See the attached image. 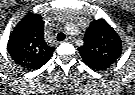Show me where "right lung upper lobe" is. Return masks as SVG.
Segmentation results:
<instances>
[{
  "label": "right lung upper lobe",
  "instance_id": "right-lung-upper-lobe-1",
  "mask_svg": "<svg viewBox=\"0 0 135 95\" xmlns=\"http://www.w3.org/2000/svg\"><path fill=\"white\" fill-rule=\"evenodd\" d=\"M7 51L14 62L27 70L41 68L54 48L44 40V25L39 14L28 13L11 32Z\"/></svg>",
  "mask_w": 135,
  "mask_h": 95
}]
</instances>
